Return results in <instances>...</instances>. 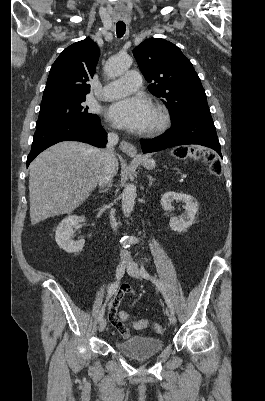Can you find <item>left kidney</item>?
I'll use <instances>...</instances> for the list:
<instances>
[{
	"mask_svg": "<svg viewBox=\"0 0 265 401\" xmlns=\"http://www.w3.org/2000/svg\"><path fill=\"white\" fill-rule=\"evenodd\" d=\"M173 201H184V203H186L184 207V215H182L180 219H178V217H172L169 223L172 231H178V233H182V231H187L188 227L193 225L199 203L197 198H194V196H191V194H184V192H173V190H169V192H165V194H162L161 196V205L163 211H171V203H173Z\"/></svg>",
	"mask_w": 265,
	"mask_h": 401,
	"instance_id": "left-kidney-1",
	"label": "left kidney"
}]
</instances>
